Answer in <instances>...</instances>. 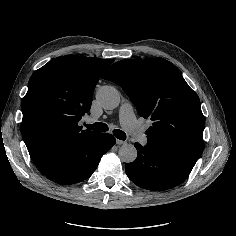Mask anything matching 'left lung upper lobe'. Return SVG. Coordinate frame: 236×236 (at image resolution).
<instances>
[{
	"label": "left lung upper lobe",
	"instance_id": "obj_1",
	"mask_svg": "<svg viewBox=\"0 0 236 236\" xmlns=\"http://www.w3.org/2000/svg\"><path fill=\"white\" fill-rule=\"evenodd\" d=\"M102 77L121 86L138 114L153 121L147 143L196 163L204 149V116L198 95L174 64L163 58L127 59Z\"/></svg>",
	"mask_w": 236,
	"mask_h": 236
}]
</instances>
